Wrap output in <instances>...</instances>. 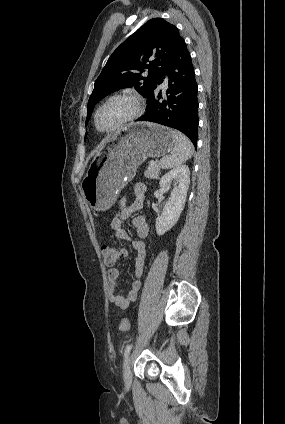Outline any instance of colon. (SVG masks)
<instances>
[{
  "label": "colon",
  "instance_id": "1",
  "mask_svg": "<svg viewBox=\"0 0 285 424\" xmlns=\"http://www.w3.org/2000/svg\"><path fill=\"white\" fill-rule=\"evenodd\" d=\"M101 253L104 258V262L107 265L114 264L121 257L120 250L114 246H102ZM119 326L124 331H127L130 328L129 321L126 318H122L120 320Z\"/></svg>",
  "mask_w": 285,
  "mask_h": 424
}]
</instances>
